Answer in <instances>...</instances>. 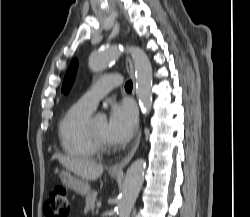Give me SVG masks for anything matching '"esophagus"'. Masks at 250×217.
Instances as JSON below:
<instances>
[{
	"label": "esophagus",
	"instance_id": "esophagus-1",
	"mask_svg": "<svg viewBox=\"0 0 250 217\" xmlns=\"http://www.w3.org/2000/svg\"><path fill=\"white\" fill-rule=\"evenodd\" d=\"M126 67H127V71L129 73L130 77L132 78L134 89H135V73H134L132 60L129 56L126 58ZM140 139H141V130L138 132V135L136 137L134 145L132 146V148L128 152V154L121 161H119L116 164H114L113 166H111L110 171H112V172H122L123 171V169L128 165V163L131 161V159L135 155V153L138 149L139 143H140Z\"/></svg>",
	"mask_w": 250,
	"mask_h": 217
}]
</instances>
